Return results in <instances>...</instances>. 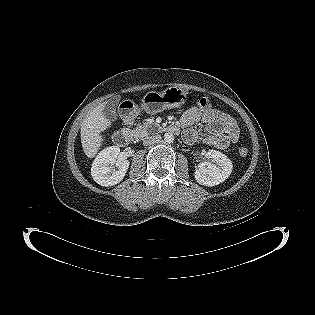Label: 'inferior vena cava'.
<instances>
[{
    "instance_id": "inferior-vena-cava-1",
    "label": "inferior vena cava",
    "mask_w": 315,
    "mask_h": 315,
    "mask_svg": "<svg viewBox=\"0 0 315 315\" xmlns=\"http://www.w3.org/2000/svg\"><path fill=\"white\" fill-rule=\"evenodd\" d=\"M160 140H161V136L159 134H153L150 136H146L143 139V145H145V146L152 145V144L160 142Z\"/></svg>"
}]
</instances>
